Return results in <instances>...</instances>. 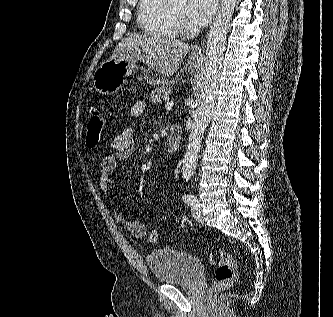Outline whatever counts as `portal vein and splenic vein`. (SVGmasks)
<instances>
[{
    "instance_id": "portal-vein-and-splenic-vein-1",
    "label": "portal vein and splenic vein",
    "mask_w": 333,
    "mask_h": 317,
    "mask_svg": "<svg viewBox=\"0 0 333 317\" xmlns=\"http://www.w3.org/2000/svg\"><path fill=\"white\" fill-rule=\"evenodd\" d=\"M174 103L173 101H169V99L167 98V102L165 104V108L166 109H171L173 107Z\"/></svg>"
}]
</instances>
